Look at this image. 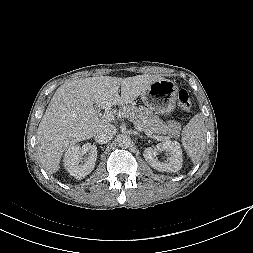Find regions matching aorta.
Wrapping results in <instances>:
<instances>
[{
  "mask_svg": "<svg viewBox=\"0 0 253 253\" xmlns=\"http://www.w3.org/2000/svg\"><path fill=\"white\" fill-rule=\"evenodd\" d=\"M118 145L121 148H128L131 145V138L127 134H122L118 138Z\"/></svg>",
  "mask_w": 253,
  "mask_h": 253,
  "instance_id": "762f6f07",
  "label": "aorta"
}]
</instances>
